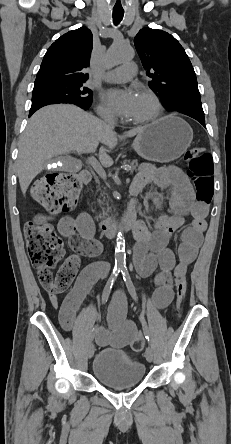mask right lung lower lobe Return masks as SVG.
<instances>
[{
	"label": "right lung lower lobe",
	"mask_w": 231,
	"mask_h": 444,
	"mask_svg": "<svg viewBox=\"0 0 231 444\" xmlns=\"http://www.w3.org/2000/svg\"><path fill=\"white\" fill-rule=\"evenodd\" d=\"M43 106H45V105H41V106H36V107H31V109H30V112H29V117L36 111V110H38L39 108H41V107H43ZM81 108H83V109H85V110H87L89 107H82V106H80Z\"/></svg>",
	"instance_id": "obj_1"
}]
</instances>
